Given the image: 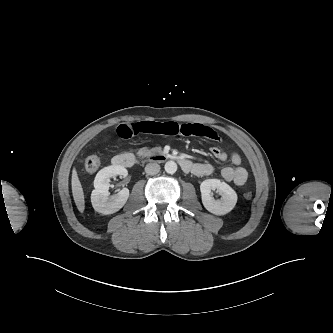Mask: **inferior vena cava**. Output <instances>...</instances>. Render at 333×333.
I'll return each instance as SVG.
<instances>
[{"label": "inferior vena cava", "mask_w": 333, "mask_h": 333, "mask_svg": "<svg viewBox=\"0 0 333 333\" xmlns=\"http://www.w3.org/2000/svg\"><path fill=\"white\" fill-rule=\"evenodd\" d=\"M160 171V166L157 163H149L145 167V172L148 175H155Z\"/></svg>", "instance_id": "obj_1"}]
</instances>
